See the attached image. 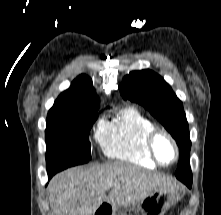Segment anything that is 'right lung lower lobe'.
Listing matches in <instances>:
<instances>
[{
    "label": "right lung lower lobe",
    "instance_id": "obj_1",
    "mask_svg": "<svg viewBox=\"0 0 221 215\" xmlns=\"http://www.w3.org/2000/svg\"><path fill=\"white\" fill-rule=\"evenodd\" d=\"M54 174H48V178L51 179V177L53 176Z\"/></svg>",
    "mask_w": 221,
    "mask_h": 215
}]
</instances>
